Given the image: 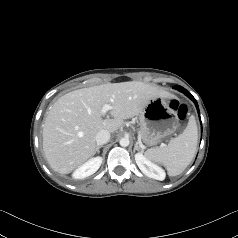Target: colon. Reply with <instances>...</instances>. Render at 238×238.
<instances>
[{
    "mask_svg": "<svg viewBox=\"0 0 238 238\" xmlns=\"http://www.w3.org/2000/svg\"><path fill=\"white\" fill-rule=\"evenodd\" d=\"M170 107L177 112L180 120H183L187 115V107L176 100L170 102Z\"/></svg>",
    "mask_w": 238,
    "mask_h": 238,
    "instance_id": "1",
    "label": "colon"
}]
</instances>
